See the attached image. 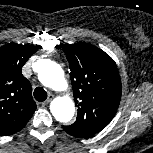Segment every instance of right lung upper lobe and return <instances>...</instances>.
Here are the masks:
<instances>
[{
  "mask_svg": "<svg viewBox=\"0 0 153 153\" xmlns=\"http://www.w3.org/2000/svg\"><path fill=\"white\" fill-rule=\"evenodd\" d=\"M35 46L9 43L0 47V135L20 131L36 110L31 84L22 75Z\"/></svg>",
  "mask_w": 153,
  "mask_h": 153,
  "instance_id": "cb5924a9",
  "label": "right lung upper lobe"
}]
</instances>
